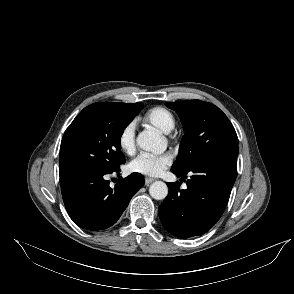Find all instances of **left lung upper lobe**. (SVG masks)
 Returning a JSON list of instances; mask_svg holds the SVG:
<instances>
[{"instance_id":"1","label":"left lung upper lobe","mask_w":294,"mask_h":294,"mask_svg":"<svg viewBox=\"0 0 294 294\" xmlns=\"http://www.w3.org/2000/svg\"><path fill=\"white\" fill-rule=\"evenodd\" d=\"M165 105L176 111L185 131L172 171L187 173L215 152L238 146L234 127L217 106L200 100Z\"/></svg>"}]
</instances>
